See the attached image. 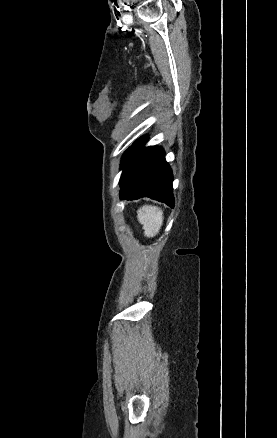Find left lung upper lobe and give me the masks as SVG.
<instances>
[{
  "mask_svg": "<svg viewBox=\"0 0 277 438\" xmlns=\"http://www.w3.org/2000/svg\"><path fill=\"white\" fill-rule=\"evenodd\" d=\"M126 154H127V152H126V153L124 154V156H123L122 165H123L124 159H125V157H126Z\"/></svg>",
  "mask_w": 277,
  "mask_h": 438,
  "instance_id": "left-lung-upper-lobe-1",
  "label": "left lung upper lobe"
}]
</instances>
